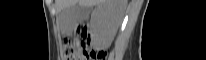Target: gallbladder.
<instances>
[{
	"instance_id": "gallbladder-1",
	"label": "gallbladder",
	"mask_w": 206,
	"mask_h": 60,
	"mask_svg": "<svg viewBox=\"0 0 206 60\" xmlns=\"http://www.w3.org/2000/svg\"><path fill=\"white\" fill-rule=\"evenodd\" d=\"M88 13V8L79 4L70 5L59 13V23L65 31H72L82 22Z\"/></svg>"
}]
</instances>
